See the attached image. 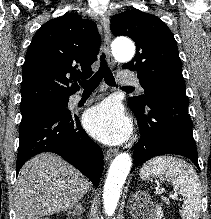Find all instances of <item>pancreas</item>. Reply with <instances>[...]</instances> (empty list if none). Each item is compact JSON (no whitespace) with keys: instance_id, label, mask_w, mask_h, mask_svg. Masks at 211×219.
<instances>
[{"instance_id":"1","label":"pancreas","mask_w":211,"mask_h":219,"mask_svg":"<svg viewBox=\"0 0 211 219\" xmlns=\"http://www.w3.org/2000/svg\"><path fill=\"white\" fill-rule=\"evenodd\" d=\"M161 199H162L164 202L168 203V199H167L166 197L162 196Z\"/></svg>"}]
</instances>
